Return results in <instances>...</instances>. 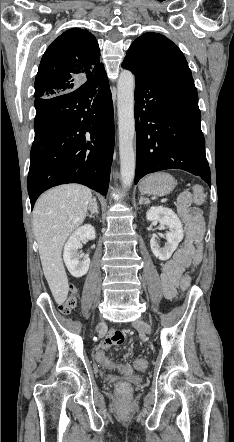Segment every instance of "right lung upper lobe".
<instances>
[{
  "label": "right lung upper lobe",
  "mask_w": 234,
  "mask_h": 442,
  "mask_svg": "<svg viewBox=\"0 0 234 442\" xmlns=\"http://www.w3.org/2000/svg\"><path fill=\"white\" fill-rule=\"evenodd\" d=\"M96 38L73 28L55 39L45 51L35 79V98H48L76 90L79 81L105 73Z\"/></svg>",
  "instance_id": "right-lung-upper-lobe-1"
}]
</instances>
